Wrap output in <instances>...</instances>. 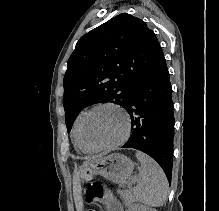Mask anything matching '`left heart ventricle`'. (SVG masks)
<instances>
[{
    "label": "left heart ventricle",
    "instance_id": "1",
    "mask_svg": "<svg viewBox=\"0 0 219 211\" xmlns=\"http://www.w3.org/2000/svg\"><path fill=\"white\" fill-rule=\"evenodd\" d=\"M125 119L116 109L101 107L91 112L84 124V135L91 145L117 141L123 134Z\"/></svg>",
    "mask_w": 219,
    "mask_h": 211
}]
</instances>
